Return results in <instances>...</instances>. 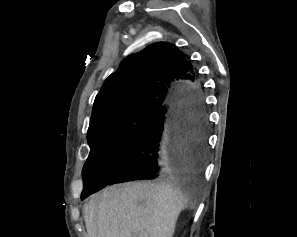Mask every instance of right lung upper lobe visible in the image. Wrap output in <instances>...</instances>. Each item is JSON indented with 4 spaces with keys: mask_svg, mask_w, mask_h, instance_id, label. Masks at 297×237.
I'll list each match as a JSON object with an SVG mask.
<instances>
[{
    "mask_svg": "<svg viewBox=\"0 0 297 237\" xmlns=\"http://www.w3.org/2000/svg\"><path fill=\"white\" fill-rule=\"evenodd\" d=\"M192 69L171 43H155L129 55L97 94L89 128L112 117L156 111L168 103L175 87L193 80Z\"/></svg>",
    "mask_w": 297,
    "mask_h": 237,
    "instance_id": "right-lung-upper-lobe-1",
    "label": "right lung upper lobe"
}]
</instances>
